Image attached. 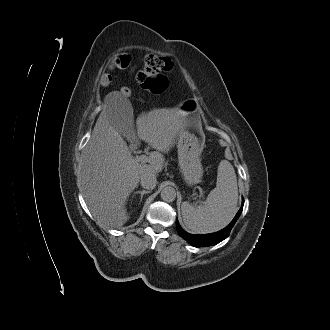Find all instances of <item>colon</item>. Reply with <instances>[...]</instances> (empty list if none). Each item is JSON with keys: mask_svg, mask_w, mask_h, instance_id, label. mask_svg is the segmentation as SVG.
Returning a JSON list of instances; mask_svg holds the SVG:
<instances>
[{"mask_svg": "<svg viewBox=\"0 0 330 330\" xmlns=\"http://www.w3.org/2000/svg\"><path fill=\"white\" fill-rule=\"evenodd\" d=\"M130 64V58L126 54L116 55L110 62V69H124ZM173 62L168 57H162L154 54L147 55L143 60L142 68L136 73L135 79L138 85L152 93H159L167 85V80L161 75L162 72L170 71ZM104 79L109 81V75L106 74ZM124 96H129L131 90L129 87H122L120 90Z\"/></svg>", "mask_w": 330, "mask_h": 330, "instance_id": "obj_1", "label": "colon"}]
</instances>
